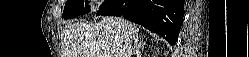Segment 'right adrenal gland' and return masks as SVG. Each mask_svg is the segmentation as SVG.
I'll list each match as a JSON object with an SVG mask.
<instances>
[{
    "label": "right adrenal gland",
    "instance_id": "2a0ac1e0",
    "mask_svg": "<svg viewBox=\"0 0 249 57\" xmlns=\"http://www.w3.org/2000/svg\"><path fill=\"white\" fill-rule=\"evenodd\" d=\"M134 45H135V49H136L135 53L137 54V57H141L140 49L144 48V46L146 45V42H143L140 39L139 43H138V40H137V41L134 42Z\"/></svg>",
    "mask_w": 249,
    "mask_h": 57
}]
</instances>
